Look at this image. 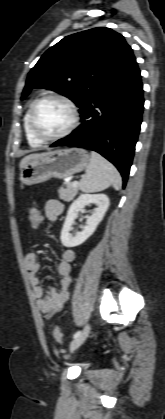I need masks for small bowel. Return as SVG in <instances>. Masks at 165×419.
Returning <instances> with one entry per match:
<instances>
[{"label": "small bowel", "instance_id": "obj_1", "mask_svg": "<svg viewBox=\"0 0 165 419\" xmlns=\"http://www.w3.org/2000/svg\"><path fill=\"white\" fill-rule=\"evenodd\" d=\"M44 211L47 219L55 221L61 215L63 206L57 200H49L45 205ZM74 259L75 253L72 249L65 248L62 250L61 260L57 265V272L61 277L60 287L59 290H56L43 287L39 277L42 266L37 255L31 252L25 256V266L36 306L46 318H50L57 313L69 298V290L73 282L71 263Z\"/></svg>", "mask_w": 165, "mask_h": 419}]
</instances>
